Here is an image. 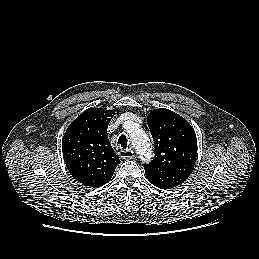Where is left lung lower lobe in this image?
I'll return each instance as SVG.
<instances>
[{"label":"left lung lower lobe","mask_w":259,"mask_h":259,"mask_svg":"<svg viewBox=\"0 0 259 259\" xmlns=\"http://www.w3.org/2000/svg\"><path fill=\"white\" fill-rule=\"evenodd\" d=\"M150 183L161 189H171L182 184L186 179L171 172H151L145 170Z\"/></svg>","instance_id":"obj_1"}]
</instances>
